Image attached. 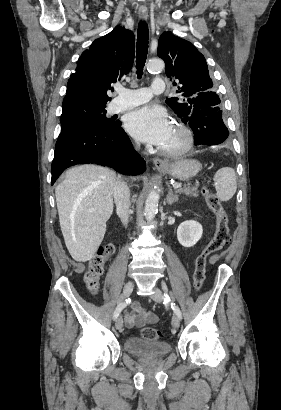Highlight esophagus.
Masks as SVG:
<instances>
[{
    "label": "esophagus",
    "mask_w": 281,
    "mask_h": 410,
    "mask_svg": "<svg viewBox=\"0 0 281 410\" xmlns=\"http://www.w3.org/2000/svg\"><path fill=\"white\" fill-rule=\"evenodd\" d=\"M138 13H139V17H140L141 19H144V20L147 19V17H148V10H147V9L140 8L139 11H138ZM153 164H154L155 167H157V168L165 167V166L168 165V163H167L166 161H164V160H162V159H160V158H154V159H153Z\"/></svg>",
    "instance_id": "esophagus-1"
}]
</instances>
